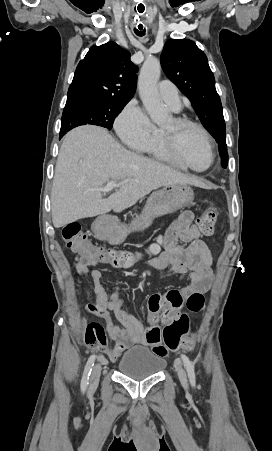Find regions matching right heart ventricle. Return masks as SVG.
Listing matches in <instances>:
<instances>
[{"label":"right heart ventricle","instance_id":"right-heart-ventricle-1","mask_svg":"<svg viewBox=\"0 0 272 451\" xmlns=\"http://www.w3.org/2000/svg\"><path fill=\"white\" fill-rule=\"evenodd\" d=\"M161 131V129L156 128L151 139L147 143L138 146L137 148L158 158H167L170 155L171 144L170 142H168L166 147L163 146Z\"/></svg>","mask_w":272,"mask_h":451}]
</instances>
